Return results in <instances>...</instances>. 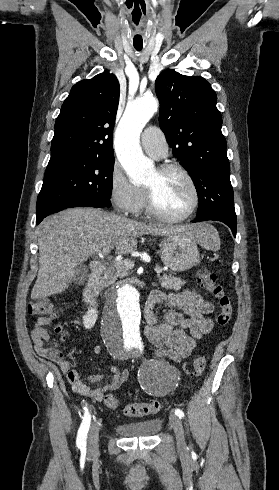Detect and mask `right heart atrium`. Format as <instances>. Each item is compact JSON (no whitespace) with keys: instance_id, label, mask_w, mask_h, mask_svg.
Returning <instances> with one entry per match:
<instances>
[{"instance_id":"d8ad5b80","label":"right heart atrium","mask_w":279,"mask_h":490,"mask_svg":"<svg viewBox=\"0 0 279 490\" xmlns=\"http://www.w3.org/2000/svg\"><path fill=\"white\" fill-rule=\"evenodd\" d=\"M109 196L115 208L125 215L137 216L146 205L145 189L134 185L117 161L108 176Z\"/></svg>"}]
</instances>
